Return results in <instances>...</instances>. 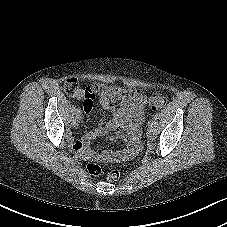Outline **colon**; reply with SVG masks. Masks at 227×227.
<instances>
[{
  "label": "colon",
  "instance_id": "obj_1",
  "mask_svg": "<svg viewBox=\"0 0 227 227\" xmlns=\"http://www.w3.org/2000/svg\"><path fill=\"white\" fill-rule=\"evenodd\" d=\"M64 90L67 94L75 96L82 89L76 78L67 79L64 83ZM88 100H93L95 97L106 96L111 101L125 104L131 100L135 94V90L110 86L105 84H96L87 87L85 90ZM148 103L152 109H160L165 106L166 99L163 95L155 93L149 97ZM87 170L92 175H99L101 173V166L96 163H90L87 165ZM120 179V172L118 170H112L107 174V180L109 182H117Z\"/></svg>",
  "mask_w": 227,
  "mask_h": 227
}]
</instances>
